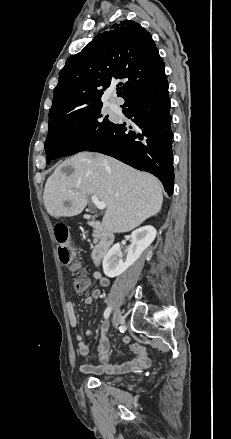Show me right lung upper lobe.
<instances>
[{
  "mask_svg": "<svg viewBox=\"0 0 231 439\" xmlns=\"http://www.w3.org/2000/svg\"><path fill=\"white\" fill-rule=\"evenodd\" d=\"M166 77L151 34L131 20L114 24L80 53L69 57L54 89L49 122L102 105L101 96L115 79L125 100Z\"/></svg>",
  "mask_w": 231,
  "mask_h": 439,
  "instance_id": "right-lung-upper-lobe-1",
  "label": "right lung upper lobe"
}]
</instances>
